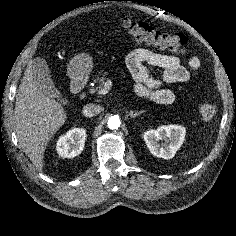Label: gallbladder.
Here are the masks:
<instances>
[{"label": "gallbladder", "instance_id": "gallbladder-1", "mask_svg": "<svg viewBox=\"0 0 236 236\" xmlns=\"http://www.w3.org/2000/svg\"><path fill=\"white\" fill-rule=\"evenodd\" d=\"M32 73L35 80L39 84L40 90L44 94L60 100V92L57 90L52 81L49 67L44 59L39 57L34 59L32 64Z\"/></svg>", "mask_w": 236, "mask_h": 236}]
</instances>
